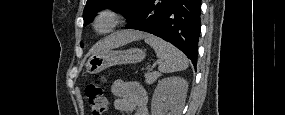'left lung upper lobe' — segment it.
Returning a JSON list of instances; mask_svg holds the SVG:
<instances>
[{
	"label": "left lung upper lobe",
	"mask_w": 285,
	"mask_h": 115,
	"mask_svg": "<svg viewBox=\"0 0 285 115\" xmlns=\"http://www.w3.org/2000/svg\"><path fill=\"white\" fill-rule=\"evenodd\" d=\"M140 1L141 0H87L83 11L84 26L93 21V17L97 12L109 7H114L115 12H119L127 17ZM81 46H83L82 43Z\"/></svg>",
	"instance_id": "5c2ea615"
}]
</instances>
